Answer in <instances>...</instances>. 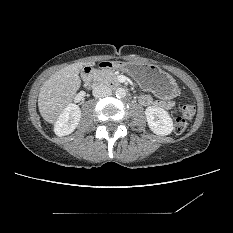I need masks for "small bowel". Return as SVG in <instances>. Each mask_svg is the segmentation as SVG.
<instances>
[{
	"instance_id": "1",
	"label": "small bowel",
	"mask_w": 233,
	"mask_h": 233,
	"mask_svg": "<svg viewBox=\"0 0 233 233\" xmlns=\"http://www.w3.org/2000/svg\"><path fill=\"white\" fill-rule=\"evenodd\" d=\"M139 102L144 106L155 105V106L164 107L167 109L172 106L170 102L155 100L150 95H147V94H143L139 96Z\"/></svg>"
}]
</instances>
